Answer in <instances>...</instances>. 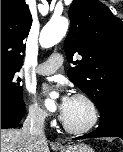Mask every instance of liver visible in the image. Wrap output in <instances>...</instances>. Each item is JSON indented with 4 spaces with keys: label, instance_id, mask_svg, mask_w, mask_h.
I'll use <instances>...</instances> for the list:
<instances>
[{
    "label": "liver",
    "instance_id": "6515ba94",
    "mask_svg": "<svg viewBox=\"0 0 123 152\" xmlns=\"http://www.w3.org/2000/svg\"><path fill=\"white\" fill-rule=\"evenodd\" d=\"M1 152H49L46 139H32L17 129L1 130Z\"/></svg>",
    "mask_w": 123,
    "mask_h": 152
}]
</instances>
